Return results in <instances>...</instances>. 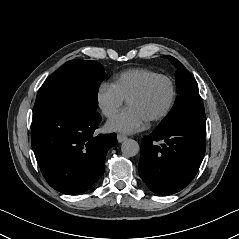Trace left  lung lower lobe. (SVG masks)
<instances>
[{
  "mask_svg": "<svg viewBox=\"0 0 239 239\" xmlns=\"http://www.w3.org/2000/svg\"><path fill=\"white\" fill-rule=\"evenodd\" d=\"M205 150L204 118L189 117L164 130H155L143 138L140 177L158 195L179 192L195 177Z\"/></svg>",
  "mask_w": 239,
  "mask_h": 239,
  "instance_id": "left-lung-lower-lobe-1",
  "label": "left lung lower lobe"
}]
</instances>
